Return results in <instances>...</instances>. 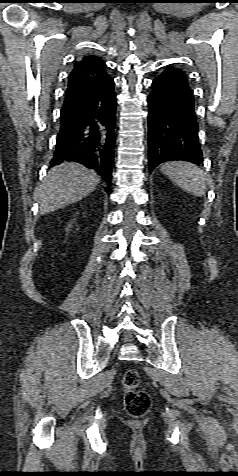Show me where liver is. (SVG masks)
I'll list each match as a JSON object with an SVG mask.
<instances>
[{
	"instance_id": "6515ba94",
	"label": "liver",
	"mask_w": 238,
	"mask_h": 476,
	"mask_svg": "<svg viewBox=\"0 0 238 476\" xmlns=\"http://www.w3.org/2000/svg\"><path fill=\"white\" fill-rule=\"evenodd\" d=\"M100 177L93 170L75 162L52 168L35 193L41 215L82 200L98 185Z\"/></svg>"
}]
</instances>
